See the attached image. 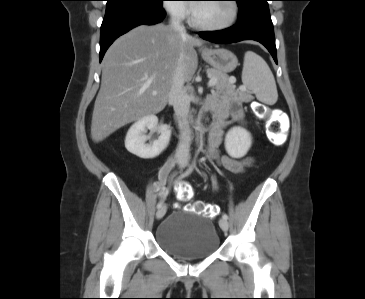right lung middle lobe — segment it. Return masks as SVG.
I'll return each mask as SVG.
<instances>
[{"instance_id": "dd1d6c3e", "label": "right lung middle lobe", "mask_w": 365, "mask_h": 299, "mask_svg": "<svg viewBox=\"0 0 365 299\" xmlns=\"http://www.w3.org/2000/svg\"><path fill=\"white\" fill-rule=\"evenodd\" d=\"M163 0H107L106 9L130 3L162 4Z\"/></svg>"}]
</instances>
